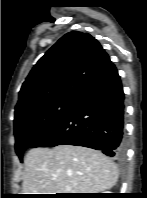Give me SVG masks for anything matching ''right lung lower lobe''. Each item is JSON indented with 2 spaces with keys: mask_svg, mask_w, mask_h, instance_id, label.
Here are the masks:
<instances>
[{
  "mask_svg": "<svg viewBox=\"0 0 147 198\" xmlns=\"http://www.w3.org/2000/svg\"><path fill=\"white\" fill-rule=\"evenodd\" d=\"M124 93L112 63L76 100L65 116L31 148L78 145L124 156Z\"/></svg>",
  "mask_w": 147,
  "mask_h": 198,
  "instance_id": "right-lung-lower-lobe-1",
  "label": "right lung lower lobe"
}]
</instances>
